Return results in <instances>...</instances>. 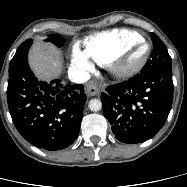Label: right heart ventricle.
Instances as JSON below:
<instances>
[{
    "instance_id": "right-heart-ventricle-1",
    "label": "right heart ventricle",
    "mask_w": 187,
    "mask_h": 187,
    "mask_svg": "<svg viewBox=\"0 0 187 187\" xmlns=\"http://www.w3.org/2000/svg\"><path fill=\"white\" fill-rule=\"evenodd\" d=\"M142 36L128 29H112L87 37L83 41L84 51L96 63L105 65L124 45Z\"/></svg>"
}]
</instances>
